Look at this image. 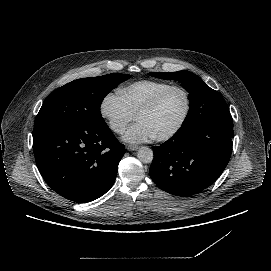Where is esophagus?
Wrapping results in <instances>:
<instances>
[{
  "label": "esophagus",
  "mask_w": 271,
  "mask_h": 271,
  "mask_svg": "<svg viewBox=\"0 0 271 271\" xmlns=\"http://www.w3.org/2000/svg\"><path fill=\"white\" fill-rule=\"evenodd\" d=\"M139 147L137 145H126V149L128 151H135L137 150Z\"/></svg>",
  "instance_id": "obj_1"
}]
</instances>
